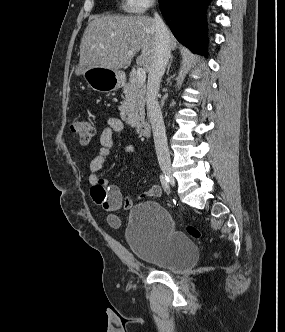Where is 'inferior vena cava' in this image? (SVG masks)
Instances as JSON below:
<instances>
[{
  "label": "inferior vena cava",
  "mask_w": 285,
  "mask_h": 332,
  "mask_svg": "<svg viewBox=\"0 0 285 332\" xmlns=\"http://www.w3.org/2000/svg\"><path fill=\"white\" fill-rule=\"evenodd\" d=\"M155 52L151 62L147 84V111L152 125L156 154L159 164L170 163L166 131L162 112L158 102L160 81L170 58V32L158 15L154 13Z\"/></svg>",
  "instance_id": "602c4592"
}]
</instances>
